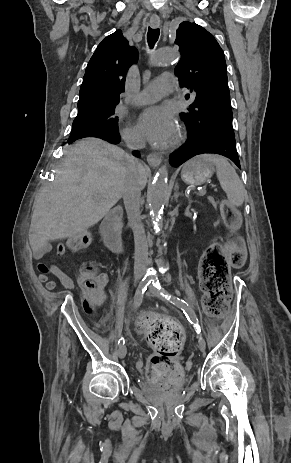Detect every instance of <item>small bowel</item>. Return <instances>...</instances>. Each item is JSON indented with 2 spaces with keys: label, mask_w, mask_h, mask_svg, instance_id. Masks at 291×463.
Instances as JSON below:
<instances>
[{
  "label": "small bowel",
  "mask_w": 291,
  "mask_h": 463,
  "mask_svg": "<svg viewBox=\"0 0 291 463\" xmlns=\"http://www.w3.org/2000/svg\"><path fill=\"white\" fill-rule=\"evenodd\" d=\"M48 246L46 245H40V246H35L34 247V257L36 259L41 258L47 251H48ZM56 253L57 256L61 257L65 253V245L62 243H59L56 248ZM40 266L43 268L41 269ZM38 269L40 271L39 274V280L42 283H45V287L48 290H54L56 288V282L54 280L49 279L48 274H52L55 276L60 283L63 285V287L67 290H72L75 287V281L74 279L68 275L66 272H64L57 264L51 263L50 265L46 266L44 264H39ZM100 282L101 284H104L107 282V276L102 275L100 276ZM90 315H94V313H89Z\"/></svg>",
  "instance_id": "1"
}]
</instances>
